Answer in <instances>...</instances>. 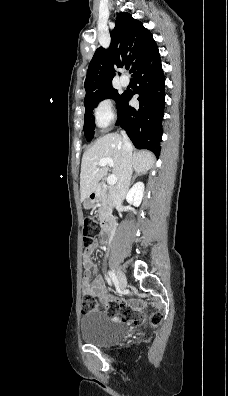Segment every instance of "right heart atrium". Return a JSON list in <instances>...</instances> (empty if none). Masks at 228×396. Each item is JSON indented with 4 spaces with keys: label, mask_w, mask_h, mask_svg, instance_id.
<instances>
[{
    "label": "right heart atrium",
    "mask_w": 228,
    "mask_h": 396,
    "mask_svg": "<svg viewBox=\"0 0 228 396\" xmlns=\"http://www.w3.org/2000/svg\"><path fill=\"white\" fill-rule=\"evenodd\" d=\"M95 124L99 128H107L116 119V112L113 102L109 98L100 100L93 110Z\"/></svg>",
    "instance_id": "1"
}]
</instances>
